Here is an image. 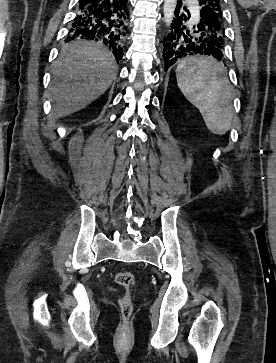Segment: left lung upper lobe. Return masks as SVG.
I'll list each match as a JSON object with an SVG mask.
<instances>
[{"instance_id": "left-lung-upper-lobe-1", "label": "left lung upper lobe", "mask_w": 276, "mask_h": 363, "mask_svg": "<svg viewBox=\"0 0 276 363\" xmlns=\"http://www.w3.org/2000/svg\"><path fill=\"white\" fill-rule=\"evenodd\" d=\"M199 3L201 6L210 7L216 13V15L219 17V20L221 21V23L223 25V14H222L220 0H199ZM220 36L223 37V40H224V38H225L224 28H223V32H222V34H220Z\"/></svg>"}]
</instances>
